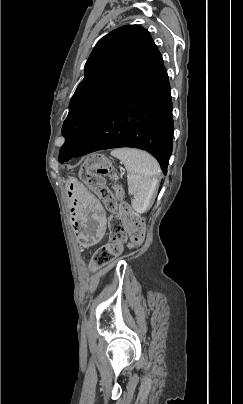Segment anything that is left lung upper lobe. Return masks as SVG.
Listing matches in <instances>:
<instances>
[{"instance_id":"left-lung-upper-lobe-1","label":"left lung upper lobe","mask_w":243,"mask_h":404,"mask_svg":"<svg viewBox=\"0 0 243 404\" xmlns=\"http://www.w3.org/2000/svg\"><path fill=\"white\" fill-rule=\"evenodd\" d=\"M163 66L150 33L126 25L101 38L85 64L62 127L66 138L59 152L61 163L80 148L100 117Z\"/></svg>"}]
</instances>
